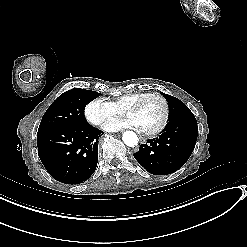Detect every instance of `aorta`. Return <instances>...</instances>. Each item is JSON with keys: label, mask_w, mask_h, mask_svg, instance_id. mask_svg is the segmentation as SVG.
<instances>
[{"label": "aorta", "mask_w": 247, "mask_h": 247, "mask_svg": "<svg viewBox=\"0 0 247 247\" xmlns=\"http://www.w3.org/2000/svg\"><path fill=\"white\" fill-rule=\"evenodd\" d=\"M122 139L129 147H135L138 144V137L133 131H125L123 133Z\"/></svg>", "instance_id": "obj_1"}]
</instances>
